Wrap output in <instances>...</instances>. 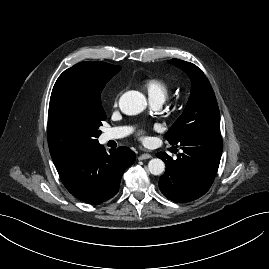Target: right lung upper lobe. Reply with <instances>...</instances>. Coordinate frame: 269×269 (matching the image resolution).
<instances>
[{"instance_id":"obj_1","label":"right lung upper lobe","mask_w":269,"mask_h":269,"mask_svg":"<svg viewBox=\"0 0 269 269\" xmlns=\"http://www.w3.org/2000/svg\"><path fill=\"white\" fill-rule=\"evenodd\" d=\"M94 72V75L79 82L68 83L66 85L67 93L75 99L80 95L95 94L98 90L99 78H112L120 70V66L110 65L105 62L87 61L78 63ZM110 78V79H111Z\"/></svg>"}]
</instances>
